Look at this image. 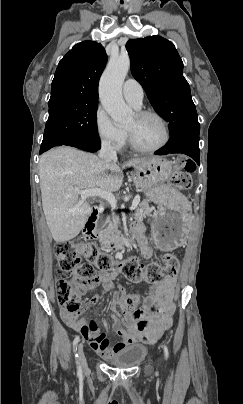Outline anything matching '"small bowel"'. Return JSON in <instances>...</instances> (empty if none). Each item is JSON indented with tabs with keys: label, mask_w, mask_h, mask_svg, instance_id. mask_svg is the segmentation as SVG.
Returning a JSON list of instances; mask_svg holds the SVG:
<instances>
[{
	"label": "small bowel",
	"mask_w": 243,
	"mask_h": 404,
	"mask_svg": "<svg viewBox=\"0 0 243 404\" xmlns=\"http://www.w3.org/2000/svg\"><path fill=\"white\" fill-rule=\"evenodd\" d=\"M134 231L138 234L139 245L142 255L151 259L153 249L148 238L142 235V227L134 226ZM119 271L113 273H100L95 284L99 285L105 291L112 287V280L119 275ZM174 286L175 280L168 278L159 285L152 288L151 294L145 299L142 309H138L127 315L122 326L117 312L114 310L113 320L114 329L121 341L111 345L110 339L106 334L100 333L95 322L87 323L85 319L61 311V316L65 323L77 332H80L87 340L90 348L100 357L111 358V356L121 348L143 342L153 344L167 330L172 322V315L175 310L174 305ZM99 300L98 296L91 299L95 304ZM115 303H119V298H115Z\"/></svg>",
	"instance_id": "obj_1"
}]
</instances>
